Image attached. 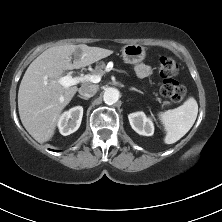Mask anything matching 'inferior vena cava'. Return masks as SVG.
Segmentation results:
<instances>
[{"mask_svg":"<svg viewBox=\"0 0 222 222\" xmlns=\"http://www.w3.org/2000/svg\"><path fill=\"white\" fill-rule=\"evenodd\" d=\"M98 91V86L93 84H83L79 88V94L85 98L93 97Z\"/></svg>","mask_w":222,"mask_h":222,"instance_id":"inferior-vena-cava-1","label":"inferior vena cava"}]
</instances>
